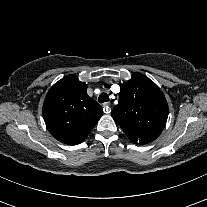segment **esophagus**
<instances>
[{
  "label": "esophagus",
  "instance_id": "esophagus-1",
  "mask_svg": "<svg viewBox=\"0 0 207 207\" xmlns=\"http://www.w3.org/2000/svg\"><path fill=\"white\" fill-rule=\"evenodd\" d=\"M110 105L111 104L109 102H105L103 104V111H104V113L109 114L111 112Z\"/></svg>",
  "mask_w": 207,
  "mask_h": 207
}]
</instances>
